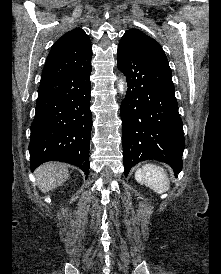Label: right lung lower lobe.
Masks as SVG:
<instances>
[{
	"mask_svg": "<svg viewBox=\"0 0 221 274\" xmlns=\"http://www.w3.org/2000/svg\"><path fill=\"white\" fill-rule=\"evenodd\" d=\"M91 70L89 65L40 84L29 144L32 171L44 162L61 161L88 176Z\"/></svg>",
	"mask_w": 221,
	"mask_h": 274,
	"instance_id": "1",
	"label": "right lung lower lobe"
}]
</instances>
